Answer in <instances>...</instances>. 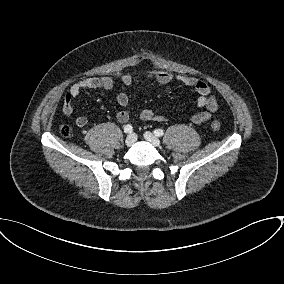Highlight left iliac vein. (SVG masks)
Listing matches in <instances>:
<instances>
[{"label":"left iliac vein","mask_w":284,"mask_h":284,"mask_svg":"<svg viewBox=\"0 0 284 284\" xmlns=\"http://www.w3.org/2000/svg\"><path fill=\"white\" fill-rule=\"evenodd\" d=\"M144 138L156 147L160 146V144H161L159 138L156 137V135H154L153 133H151L149 131H146L144 133Z\"/></svg>","instance_id":"4c4485c4"}]
</instances>
